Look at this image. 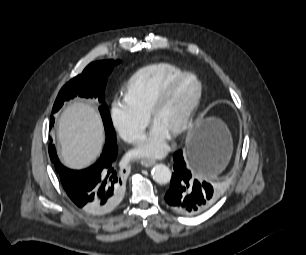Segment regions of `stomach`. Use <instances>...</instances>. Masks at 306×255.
Wrapping results in <instances>:
<instances>
[{
    "label": "stomach",
    "mask_w": 306,
    "mask_h": 255,
    "mask_svg": "<svg viewBox=\"0 0 306 255\" xmlns=\"http://www.w3.org/2000/svg\"><path fill=\"white\" fill-rule=\"evenodd\" d=\"M214 140H219L227 148L230 146V135L225 124L217 118H200L187 138V148L195 144H206ZM229 151L215 164L211 171L196 167L198 172L206 177H212L222 170L228 160Z\"/></svg>",
    "instance_id": "1"
}]
</instances>
